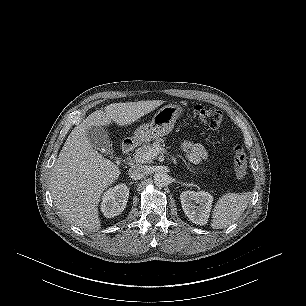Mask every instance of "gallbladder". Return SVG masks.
Listing matches in <instances>:
<instances>
[{"mask_svg":"<svg viewBox=\"0 0 306 306\" xmlns=\"http://www.w3.org/2000/svg\"><path fill=\"white\" fill-rule=\"evenodd\" d=\"M87 136L94 149L109 150L111 143L108 136V132L99 126H92L87 131Z\"/></svg>","mask_w":306,"mask_h":306,"instance_id":"1","label":"gallbladder"}]
</instances>
